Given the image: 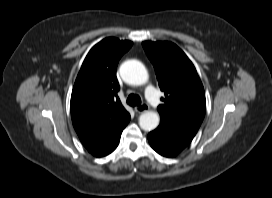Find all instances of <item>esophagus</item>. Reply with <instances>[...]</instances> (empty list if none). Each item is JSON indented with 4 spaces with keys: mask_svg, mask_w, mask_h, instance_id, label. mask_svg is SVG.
I'll list each match as a JSON object with an SVG mask.
<instances>
[{
    "mask_svg": "<svg viewBox=\"0 0 272 198\" xmlns=\"http://www.w3.org/2000/svg\"><path fill=\"white\" fill-rule=\"evenodd\" d=\"M148 109H149V106L146 103L135 107V111L137 113H143V112L147 111Z\"/></svg>",
    "mask_w": 272,
    "mask_h": 198,
    "instance_id": "esophagus-1",
    "label": "esophagus"
}]
</instances>
